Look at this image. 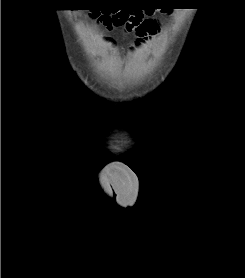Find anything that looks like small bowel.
I'll return each instance as SVG.
<instances>
[{"label":"small bowel","mask_w":245,"mask_h":278,"mask_svg":"<svg viewBox=\"0 0 245 278\" xmlns=\"http://www.w3.org/2000/svg\"><path fill=\"white\" fill-rule=\"evenodd\" d=\"M120 1H129V0H120ZM156 33H157V32H156ZM156 33H155V34H156ZM152 35H154V34H152ZM138 43H139V42H138Z\"/></svg>","instance_id":"c3829d8e"}]
</instances>
